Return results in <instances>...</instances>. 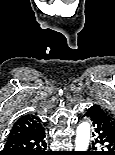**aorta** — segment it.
Returning a JSON list of instances; mask_svg holds the SVG:
<instances>
[{
	"label": "aorta",
	"mask_w": 115,
	"mask_h": 155,
	"mask_svg": "<svg viewBox=\"0 0 115 155\" xmlns=\"http://www.w3.org/2000/svg\"><path fill=\"white\" fill-rule=\"evenodd\" d=\"M90 140V125L88 122H82L77 127L75 139V151H86Z\"/></svg>",
	"instance_id": "1"
}]
</instances>
